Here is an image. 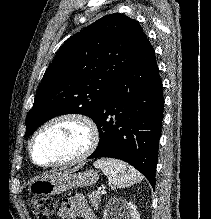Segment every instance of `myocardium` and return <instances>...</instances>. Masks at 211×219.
Here are the masks:
<instances>
[{"label": "myocardium", "mask_w": 211, "mask_h": 219, "mask_svg": "<svg viewBox=\"0 0 211 219\" xmlns=\"http://www.w3.org/2000/svg\"><path fill=\"white\" fill-rule=\"evenodd\" d=\"M65 120L75 121L81 124L85 128L87 132V142L85 147L80 153H78L76 156L70 159L54 162L50 164L38 163L33 156V144L36 141L37 137L48 126ZM98 143H99V130L96 123L89 116L78 112H64L57 114L47 119L45 122H43L32 134L28 142L27 149H28L29 158L34 165L41 168H60V167L73 166L75 164H78L86 160L95 151V149L98 146Z\"/></svg>", "instance_id": "obj_1"}]
</instances>
